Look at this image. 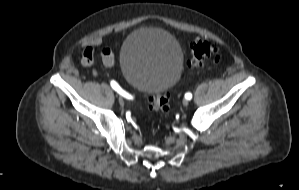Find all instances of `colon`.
<instances>
[{"label": "colon", "instance_id": "colon-1", "mask_svg": "<svg viewBox=\"0 0 299 190\" xmlns=\"http://www.w3.org/2000/svg\"><path fill=\"white\" fill-rule=\"evenodd\" d=\"M221 51L219 48L204 40H195L191 46V57L188 61L189 68H197L207 62H219L221 60ZM93 59L90 56H85L82 59L84 65L91 67ZM150 108L153 112H168L170 109L169 97L167 94L152 95L149 97Z\"/></svg>", "mask_w": 299, "mask_h": 190}]
</instances>
